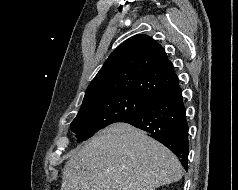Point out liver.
<instances>
[{
    "instance_id": "1",
    "label": "liver",
    "mask_w": 238,
    "mask_h": 190,
    "mask_svg": "<svg viewBox=\"0 0 238 190\" xmlns=\"http://www.w3.org/2000/svg\"><path fill=\"white\" fill-rule=\"evenodd\" d=\"M182 176L168 148L130 124L115 123L71 153L61 190H155Z\"/></svg>"
}]
</instances>
